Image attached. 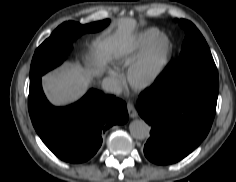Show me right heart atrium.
Listing matches in <instances>:
<instances>
[{
	"mask_svg": "<svg viewBox=\"0 0 236 182\" xmlns=\"http://www.w3.org/2000/svg\"><path fill=\"white\" fill-rule=\"evenodd\" d=\"M107 77L110 85L114 88H119L123 84V77L122 74L114 69V68H109L107 71Z\"/></svg>",
	"mask_w": 236,
	"mask_h": 182,
	"instance_id": "d8ad5b80",
	"label": "right heart atrium"
}]
</instances>
